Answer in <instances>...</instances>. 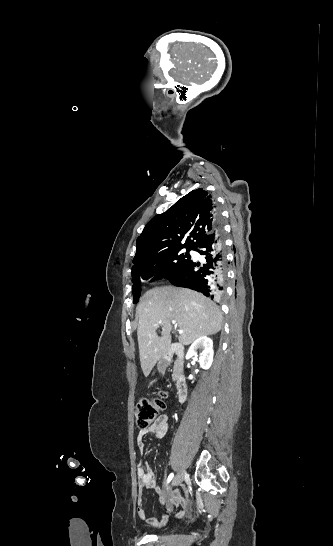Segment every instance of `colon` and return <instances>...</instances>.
I'll use <instances>...</instances> for the list:
<instances>
[{"instance_id": "obj_1", "label": "colon", "mask_w": 333, "mask_h": 546, "mask_svg": "<svg viewBox=\"0 0 333 546\" xmlns=\"http://www.w3.org/2000/svg\"><path fill=\"white\" fill-rule=\"evenodd\" d=\"M165 392L161 391L154 398L141 399L135 409L136 425L143 430L148 428L165 408Z\"/></svg>"}]
</instances>
